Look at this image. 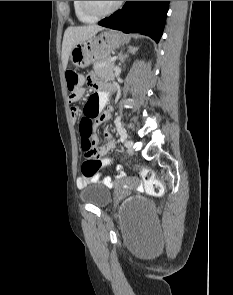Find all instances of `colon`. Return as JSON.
I'll use <instances>...</instances> for the list:
<instances>
[{
    "instance_id": "5ec220e1",
    "label": "colon",
    "mask_w": 233,
    "mask_h": 295,
    "mask_svg": "<svg viewBox=\"0 0 233 295\" xmlns=\"http://www.w3.org/2000/svg\"><path fill=\"white\" fill-rule=\"evenodd\" d=\"M70 98H76L84 93V79L75 71H67L65 74ZM80 135L85 161L82 164V174L85 177L95 175L102 167L114 163L112 156L102 157L97 139L93 133V122L88 117H83L80 123ZM141 177L147 192L153 196H161L164 192L163 184L156 178L154 172L147 167H139Z\"/></svg>"
}]
</instances>
